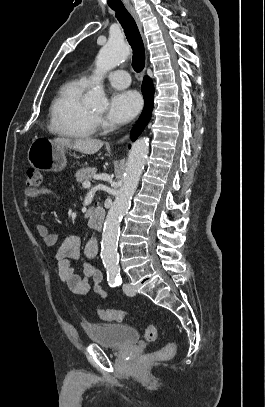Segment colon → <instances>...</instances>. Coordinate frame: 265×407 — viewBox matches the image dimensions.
Segmentation results:
<instances>
[{"instance_id":"1","label":"colon","mask_w":265,"mask_h":407,"mask_svg":"<svg viewBox=\"0 0 265 407\" xmlns=\"http://www.w3.org/2000/svg\"><path fill=\"white\" fill-rule=\"evenodd\" d=\"M26 184L31 188H40L43 184V177L40 171L34 168H29L26 172ZM101 319L105 321H124L130 315L122 310L116 309H101L98 311ZM165 331L156 325H145L143 328V336L146 340L154 341L161 335H164ZM176 352V344L174 341H168L159 350L144 356V361L153 360H167L174 356Z\"/></svg>"}]
</instances>
